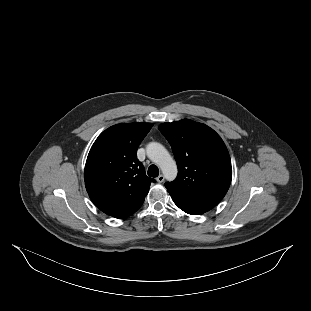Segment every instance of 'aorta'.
Returning <instances> with one entry per match:
<instances>
[{
  "instance_id": "762f6f07",
  "label": "aorta",
  "mask_w": 311,
  "mask_h": 311,
  "mask_svg": "<svg viewBox=\"0 0 311 311\" xmlns=\"http://www.w3.org/2000/svg\"><path fill=\"white\" fill-rule=\"evenodd\" d=\"M147 156L161 169L168 180L175 179L177 175L176 162L162 144L150 143L147 146Z\"/></svg>"
}]
</instances>
